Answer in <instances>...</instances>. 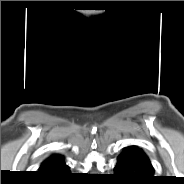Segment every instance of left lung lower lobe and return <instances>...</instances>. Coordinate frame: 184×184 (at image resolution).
I'll use <instances>...</instances> for the list:
<instances>
[{
  "instance_id": "0a47b994",
  "label": "left lung lower lobe",
  "mask_w": 184,
  "mask_h": 184,
  "mask_svg": "<svg viewBox=\"0 0 184 184\" xmlns=\"http://www.w3.org/2000/svg\"><path fill=\"white\" fill-rule=\"evenodd\" d=\"M153 167L136 146L127 147L118 157L114 176L128 184H150L154 180Z\"/></svg>"
}]
</instances>
